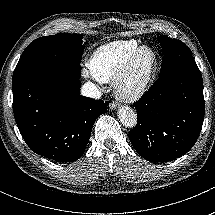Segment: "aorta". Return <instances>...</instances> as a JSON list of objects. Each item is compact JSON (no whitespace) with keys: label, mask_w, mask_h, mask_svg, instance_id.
<instances>
[{"label":"aorta","mask_w":215,"mask_h":215,"mask_svg":"<svg viewBox=\"0 0 215 215\" xmlns=\"http://www.w3.org/2000/svg\"><path fill=\"white\" fill-rule=\"evenodd\" d=\"M118 116H119L120 123L125 128L132 129L136 127L137 121H138L137 113L131 108L121 107L119 109Z\"/></svg>","instance_id":"1"}]
</instances>
